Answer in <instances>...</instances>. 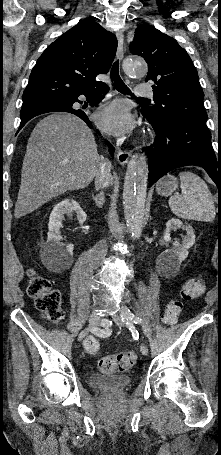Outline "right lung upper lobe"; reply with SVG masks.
Returning a JSON list of instances; mask_svg holds the SVG:
<instances>
[{
    "label": "right lung upper lobe",
    "mask_w": 221,
    "mask_h": 455,
    "mask_svg": "<svg viewBox=\"0 0 221 455\" xmlns=\"http://www.w3.org/2000/svg\"><path fill=\"white\" fill-rule=\"evenodd\" d=\"M117 39L94 21L75 25L49 45L34 66L23 106L62 100L105 74L115 57Z\"/></svg>",
    "instance_id": "1"
}]
</instances>
